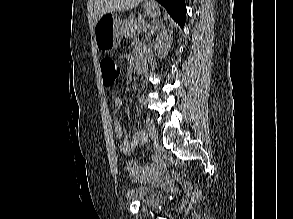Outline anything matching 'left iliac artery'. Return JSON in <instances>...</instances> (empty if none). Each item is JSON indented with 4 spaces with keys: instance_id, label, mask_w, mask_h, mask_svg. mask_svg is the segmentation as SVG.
Masks as SVG:
<instances>
[{
    "instance_id": "44dca946",
    "label": "left iliac artery",
    "mask_w": 293,
    "mask_h": 219,
    "mask_svg": "<svg viewBox=\"0 0 293 219\" xmlns=\"http://www.w3.org/2000/svg\"><path fill=\"white\" fill-rule=\"evenodd\" d=\"M141 101H142V104H143V105H146V101H145L144 96H141Z\"/></svg>"
}]
</instances>
